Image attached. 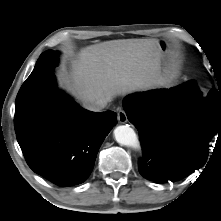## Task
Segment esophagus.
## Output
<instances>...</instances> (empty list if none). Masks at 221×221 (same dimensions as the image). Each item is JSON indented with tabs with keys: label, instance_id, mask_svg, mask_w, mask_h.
<instances>
[{
	"label": "esophagus",
	"instance_id": "esophagus-1",
	"mask_svg": "<svg viewBox=\"0 0 221 221\" xmlns=\"http://www.w3.org/2000/svg\"><path fill=\"white\" fill-rule=\"evenodd\" d=\"M117 118L120 123H126L128 121L126 112L123 109L118 111Z\"/></svg>",
	"mask_w": 221,
	"mask_h": 221
}]
</instances>
